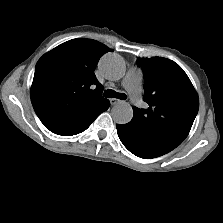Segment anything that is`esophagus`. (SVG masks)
Returning <instances> with one entry per match:
<instances>
[{
	"instance_id": "esophagus-1",
	"label": "esophagus",
	"mask_w": 223,
	"mask_h": 223,
	"mask_svg": "<svg viewBox=\"0 0 223 223\" xmlns=\"http://www.w3.org/2000/svg\"><path fill=\"white\" fill-rule=\"evenodd\" d=\"M121 101L119 100V99H116V98H112V99H110V103H111V105H116V104H118V103H120Z\"/></svg>"
}]
</instances>
